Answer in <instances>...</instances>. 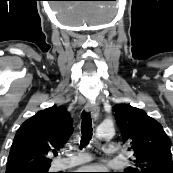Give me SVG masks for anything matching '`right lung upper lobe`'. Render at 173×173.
I'll use <instances>...</instances> for the list:
<instances>
[{
    "mask_svg": "<svg viewBox=\"0 0 173 173\" xmlns=\"http://www.w3.org/2000/svg\"><path fill=\"white\" fill-rule=\"evenodd\" d=\"M72 131V119L63 106L39 111L16 132L6 173H32L49 168L48 155L62 148Z\"/></svg>",
    "mask_w": 173,
    "mask_h": 173,
    "instance_id": "1",
    "label": "right lung upper lobe"
}]
</instances>
